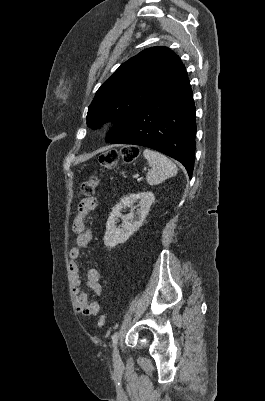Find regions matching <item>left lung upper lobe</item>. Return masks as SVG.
I'll return each mask as SVG.
<instances>
[{
    "label": "left lung upper lobe",
    "instance_id": "1",
    "mask_svg": "<svg viewBox=\"0 0 265 401\" xmlns=\"http://www.w3.org/2000/svg\"><path fill=\"white\" fill-rule=\"evenodd\" d=\"M184 71L178 55L167 47L141 51L123 63L98 89L88 108V126L96 129L105 121H114L116 126L106 138L110 142Z\"/></svg>",
    "mask_w": 265,
    "mask_h": 401
}]
</instances>
